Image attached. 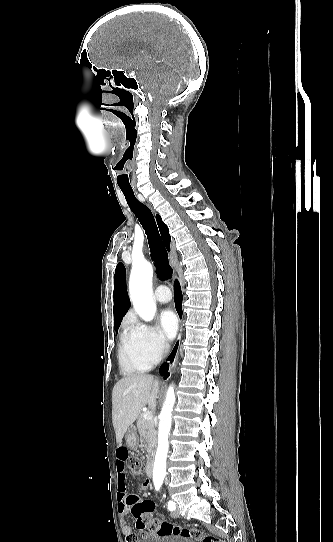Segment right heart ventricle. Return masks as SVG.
Returning a JSON list of instances; mask_svg holds the SVG:
<instances>
[{
	"label": "right heart ventricle",
	"mask_w": 333,
	"mask_h": 542,
	"mask_svg": "<svg viewBox=\"0 0 333 542\" xmlns=\"http://www.w3.org/2000/svg\"><path fill=\"white\" fill-rule=\"evenodd\" d=\"M133 326L134 321L132 319L128 320L119 345L121 367L127 374L146 372L157 362V357L148 353L132 338Z\"/></svg>",
	"instance_id": "e07e8e85"
}]
</instances>
